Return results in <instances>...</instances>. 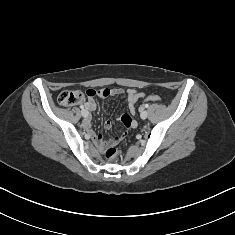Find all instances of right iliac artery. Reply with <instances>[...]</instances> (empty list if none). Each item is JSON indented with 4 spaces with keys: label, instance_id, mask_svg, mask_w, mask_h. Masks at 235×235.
I'll use <instances>...</instances> for the list:
<instances>
[{
    "label": "right iliac artery",
    "instance_id": "1",
    "mask_svg": "<svg viewBox=\"0 0 235 235\" xmlns=\"http://www.w3.org/2000/svg\"><path fill=\"white\" fill-rule=\"evenodd\" d=\"M80 108L82 109V112L86 111L83 105H81Z\"/></svg>",
    "mask_w": 235,
    "mask_h": 235
}]
</instances>
